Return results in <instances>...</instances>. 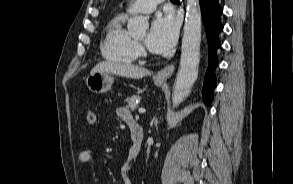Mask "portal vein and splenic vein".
Returning <instances> with one entry per match:
<instances>
[{
    "mask_svg": "<svg viewBox=\"0 0 293 184\" xmlns=\"http://www.w3.org/2000/svg\"><path fill=\"white\" fill-rule=\"evenodd\" d=\"M145 111H146V110H145L144 108H139V109H138V112H139L140 114L145 113Z\"/></svg>",
    "mask_w": 293,
    "mask_h": 184,
    "instance_id": "portal-vein-and-splenic-vein-1",
    "label": "portal vein and splenic vein"
}]
</instances>
